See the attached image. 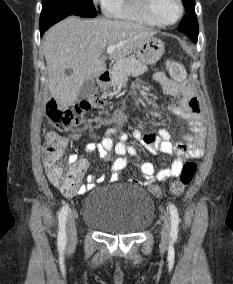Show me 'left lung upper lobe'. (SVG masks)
I'll return each mask as SVG.
<instances>
[{
  "label": "left lung upper lobe",
  "mask_w": 233,
  "mask_h": 284,
  "mask_svg": "<svg viewBox=\"0 0 233 284\" xmlns=\"http://www.w3.org/2000/svg\"><path fill=\"white\" fill-rule=\"evenodd\" d=\"M184 7L186 8V13L178 26V30L187 34L188 36H198L199 25L197 22L195 14V0H182Z\"/></svg>",
  "instance_id": "obj_1"
}]
</instances>
